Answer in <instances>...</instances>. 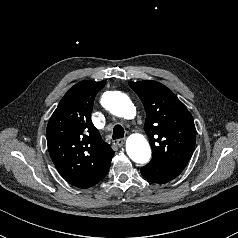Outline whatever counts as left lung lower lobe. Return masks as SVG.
I'll list each match as a JSON object with an SVG mask.
<instances>
[{"label":"left lung lower lobe","mask_w":238,"mask_h":238,"mask_svg":"<svg viewBox=\"0 0 238 238\" xmlns=\"http://www.w3.org/2000/svg\"><path fill=\"white\" fill-rule=\"evenodd\" d=\"M182 169L159 165L154 162H149L141 168V174L146 179L159 184H165L176 178Z\"/></svg>","instance_id":"1"}]
</instances>
